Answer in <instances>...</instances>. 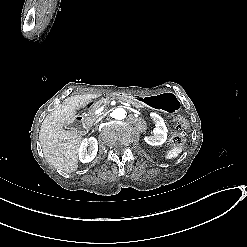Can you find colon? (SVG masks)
<instances>
[{"instance_id":"obj_1","label":"colon","mask_w":247,"mask_h":247,"mask_svg":"<svg viewBox=\"0 0 247 247\" xmlns=\"http://www.w3.org/2000/svg\"><path fill=\"white\" fill-rule=\"evenodd\" d=\"M187 130V122L184 117H177L174 119L173 132L171 134L170 142L174 147H181L184 141V135Z\"/></svg>"}]
</instances>
